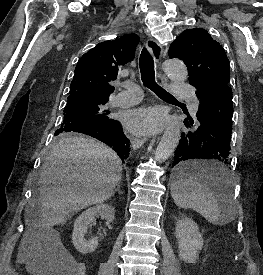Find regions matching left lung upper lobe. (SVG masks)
Wrapping results in <instances>:
<instances>
[{"mask_svg": "<svg viewBox=\"0 0 263 275\" xmlns=\"http://www.w3.org/2000/svg\"><path fill=\"white\" fill-rule=\"evenodd\" d=\"M169 56L187 65L189 82L197 90L230 82V66L225 50L205 29L183 31L171 44Z\"/></svg>", "mask_w": 263, "mask_h": 275, "instance_id": "left-lung-upper-lobe-1", "label": "left lung upper lobe"}]
</instances>
